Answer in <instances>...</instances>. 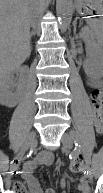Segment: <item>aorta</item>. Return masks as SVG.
I'll return each mask as SVG.
<instances>
[{
	"mask_svg": "<svg viewBox=\"0 0 103 193\" xmlns=\"http://www.w3.org/2000/svg\"><path fill=\"white\" fill-rule=\"evenodd\" d=\"M73 11V0H56V14L62 31L69 27Z\"/></svg>",
	"mask_w": 103,
	"mask_h": 193,
	"instance_id": "1",
	"label": "aorta"
}]
</instances>
